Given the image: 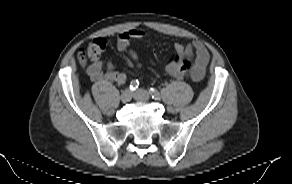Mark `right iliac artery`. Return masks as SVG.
<instances>
[{
	"label": "right iliac artery",
	"instance_id": "obj_1",
	"mask_svg": "<svg viewBox=\"0 0 292 184\" xmlns=\"http://www.w3.org/2000/svg\"><path fill=\"white\" fill-rule=\"evenodd\" d=\"M138 86H139V81L138 80H132L131 82H130V90L131 91H134V90H136L137 88H138Z\"/></svg>",
	"mask_w": 292,
	"mask_h": 184
}]
</instances>
